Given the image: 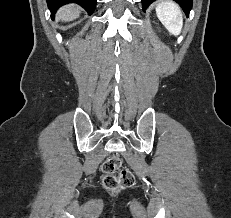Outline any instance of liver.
Instances as JSON below:
<instances>
[{
	"label": "liver",
	"mask_w": 231,
	"mask_h": 218,
	"mask_svg": "<svg viewBox=\"0 0 231 218\" xmlns=\"http://www.w3.org/2000/svg\"><path fill=\"white\" fill-rule=\"evenodd\" d=\"M80 15L79 7L75 4H69L62 7L58 12V18L62 21H72Z\"/></svg>",
	"instance_id": "obj_1"
}]
</instances>
